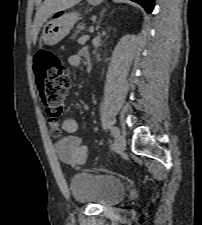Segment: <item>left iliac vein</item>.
Segmentation results:
<instances>
[{
    "label": "left iliac vein",
    "mask_w": 202,
    "mask_h": 225,
    "mask_svg": "<svg viewBox=\"0 0 202 225\" xmlns=\"http://www.w3.org/2000/svg\"><path fill=\"white\" fill-rule=\"evenodd\" d=\"M116 145H117V150L119 152H123L125 147H126V139L123 135L121 134H118L117 135V142H116Z\"/></svg>",
    "instance_id": "1"
}]
</instances>
